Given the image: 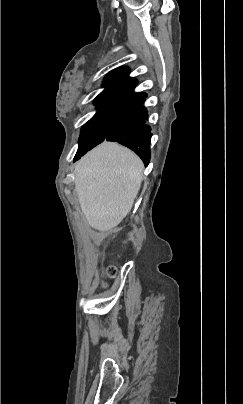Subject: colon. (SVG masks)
<instances>
[{"instance_id": "colon-1", "label": "colon", "mask_w": 243, "mask_h": 404, "mask_svg": "<svg viewBox=\"0 0 243 404\" xmlns=\"http://www.w3.org/2000/svg\"><path fill=\"white\" fill-rule=\"evenodd\" d=\"M117 275V268L115 266H109L106 269V276L109 278H113ZM106 285L103 284V287H105Z\"/></svg>"}]
</instances>
